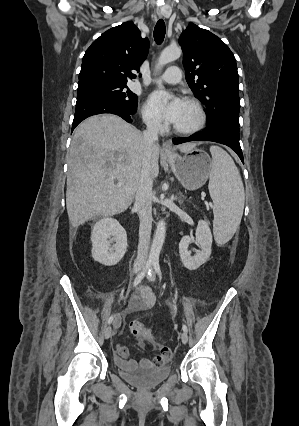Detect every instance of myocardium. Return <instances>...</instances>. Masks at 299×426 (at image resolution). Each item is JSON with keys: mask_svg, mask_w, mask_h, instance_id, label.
Returning <instances> with one entry per match:
<instances>
[{"mask_svg": "<svg viewBox=\"0 0 299 426\" xmlns=\"http://www.w3.org/2000/svg\"><path fill=\"white\" fill-rule=\"evenodd\" d=\"M184 102L191 104L195 107L197 111V121L193 126L189 128H178L174 125L173 130L175 133L180 135H192L199 132L205 127L207 122V113L201 102L194 97H186L184 99Z\"/></svg>", "mask_w": 299, "mask_h": 426, "instance_id": "obj_1", "label": "myocardium"}]
</instances>
